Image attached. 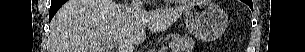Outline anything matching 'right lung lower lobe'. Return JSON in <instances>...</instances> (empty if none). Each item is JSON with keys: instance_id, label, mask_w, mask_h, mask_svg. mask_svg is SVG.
<instances>
[{"instance_id": "98d812e1", "label": "right lung lower lobe", "mask_w": 305, "mask_h": 52, "mask_svg": "<svg viewBox=\"0 0 305 52\" xmlns=\"http://www.w3.org/2000/svg\"><path fill=\"white\" fill-rule=\"evenodd\" d=\"M66 2V0H52L50 7L49 21L53 18L58 9Z\"/></svg>"}]
</instances>
